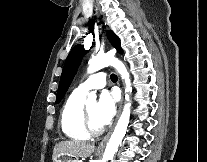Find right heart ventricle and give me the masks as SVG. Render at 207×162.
I'll return each mask as SVG.
<instances>
[{
  "label": "right heart ventricle",
  "instance_id": "e07e8e85",
  "mask_svg": "<svg viewBox=\"0 0 207 162\" xmlns=\"http://www.w3.org/2000/svg\"><path fill=\"white\" fill-rule=\"evenodd\" d=\"M85 94L76 89L67 98L60 115V128L62 132L73 140L84 141L90 135L83 127V108Z\"/></svg>",
  "mask_w": 207,
  "mask_h": 162
}]
</instances>
